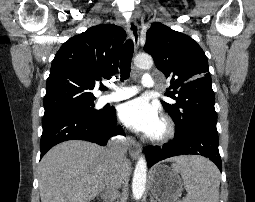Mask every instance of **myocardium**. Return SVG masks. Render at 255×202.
<instances>
[{
	"mask_svg": "<svg viewBox=\"0 0 255 202\" xmlns=\"http://www.w3.org/2000/svg\"><path fill=\"white\" fill-rule=\"evenodd\" d=\"M161 124V130L160 132L156 134H152L150 136L151 141L155 143H165L171 140L174 135H175V124L174 122L168 118V117H163L160 121Z\"/></svg>",
	"mask_w": 255,
	"mask_h": 202,
	"instance_id": "f54148a6",
	"label": "myocardium"
}]
</instances>
